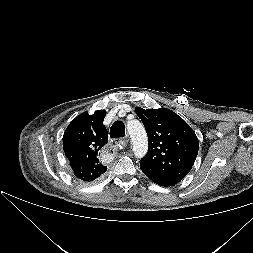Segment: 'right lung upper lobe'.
<instances>
[{
	"label": "right lung upper lobe",
	"instance_id": "obj_1",
	"mask_svg": "<svg viewBox=\"0 0 253 253\" xmlns=\"http://www.w3.org/2000/svg\"><path fill=\"white\" fill-rule=\"evenodd\" d=\"M105 116V110L93 115L84 112L68 125L63 135L65 155L74 175L84 182L98 180L107 170L98 158L99 150L108 142V132L103 125Z\"/></svg>",
	"mask_w": 253,
	"mask_h": 253
}]
</instances>
